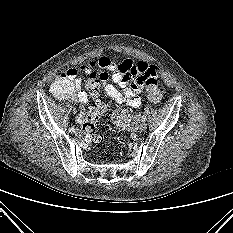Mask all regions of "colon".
<instances>
[{
    "label": "colon",
    "instance_id": "1",
    "mask_svg": "<svg viewBox=\"0 0 233 233\" xmlns=\"http://www.w3.org/2000/svg\"><path fill=\"white\" fill-rule=\"evenodd\" d=\"M101 80V77L96 71L92 72L86 80L85 87L93 98L97 99L99 97ZM146 85L148 99L152 103L158 104L162 98V89L157 79L155 77H149L146 81ZM50 89L55 97L58 99H65L73 90L71 77L66 72L59 73ZM105 110L106 105L97 100L84 121V130L96 142L99 141V138L95 135V130Z\"/></svg>",
    "mask_w": 233,
    "mask_h": 233
}]
</instances>
